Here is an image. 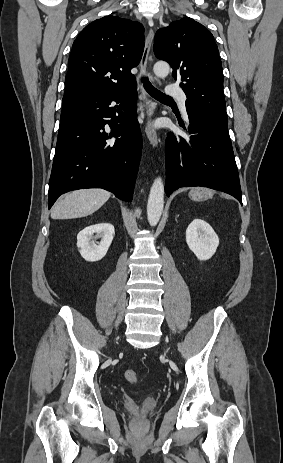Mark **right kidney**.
<instances>
[{"label": "right kidney", "mask_w": 283, "mask_h": 463, "mask_svg": "<svg viewBox=\"0 0 283 463\" xmlns=\"http://www.w3.org/2000/svg\"><path fill=\"white\" fill-rule=\"evenodd\" d=\"M114 233V226L110 223H100L84 228L77 235V247L81 256L90 262L101 260L112 243ZM94 234L101 238L100 243L95 244L91 241Z\"/></svg>", "instance_id": "ca27d5eb"}]
</instances>
